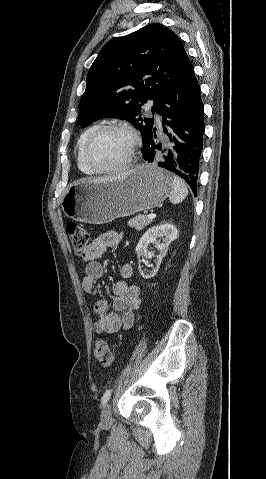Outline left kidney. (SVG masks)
Wrapping results in <instances>:
<instances>
[{"mask_svg": "<svg viewBox=\"0 0 266 479\" xmlns=\"http://www.w3.org/2000/svg\"><path fill=\"white\" fill-rule=\"evenodd\" d=\"M178 236L177 228L173 224H161L159 226H154L148 229L143 236L140 238L137 246L136 253L140 256H145L151 258L153 253L147 251V247L150 243L156 242L157 249L160 252V255L157 256L156 266L151 272H145L142 267L139 265V272L144 279H149L154 277L160 267L161 261L164 256H166L168 247L172 241H174ZM157 238H162L163 243L157 241Z\"/></svg>", "mask_w": 266, "mask_h": 479, "instance_id": "1", "label": "left kidney"}]
</instances>
